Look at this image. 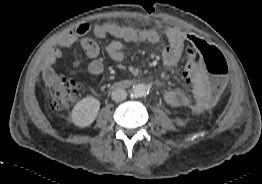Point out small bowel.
<instances>
[{
  "label": "small bowel",
  "mask_w": 262,
  "mask_h": 184,
  "mask_svg": "<svg viewBox=\"0 0 262 184\" xmlns=\"http://www.w3.org/2000/svg\"><path fill=\"white\" fill-rule=\"evenodd\" d=\"M90 25L82 23L73 31L60 35L57 39V48L49 51L45 57V73L51 75L53 66L61 57V50L71 47L80 39L81 51L91 59L88 64V72L91 75H100L104 65L99 59L100 48L98 44L87 37ZM98 38L107 35L114 36L117 40L110 42L106 47V53L110 59L121 62L124 59L126 43L148 42L156 44L160 41V34L154 29L123 27L115 24L104 23L96 25L93 29ZM190 32L176 28L165 31L167 46L162 51L163 63L168 67L175 66L181 59L183 53L187 54L185 70L177 71V78L183 83H193L190 94L179 90H168L164 93V100L173 107H188L194 113H202L211 107L215 101L207 97L208 81L204 74V65L197 59L192 44H186V36Z\"/></svg>",
  "instance_id": "1"
}]
</instances>
